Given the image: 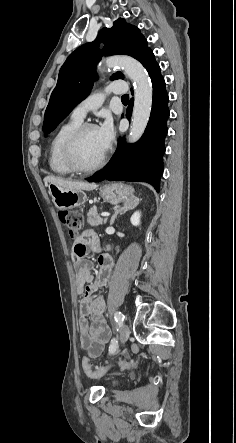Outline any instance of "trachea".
<instances>
[{"label": "trachea", "instance_id": "3493384b", "mask_svg": "<svg viewBox=\"0 0 236 443\" xmlns=\"http://www.w3.org/2000/svg\"><path fill=\"white\" fill-rule=\"evenodd\" d=\"M121 99H122V101H128L129 100V95L125 94V95L122 96Z\"/></svg>", "mask_w": 236, "mask_h": 443}]
</instances>
